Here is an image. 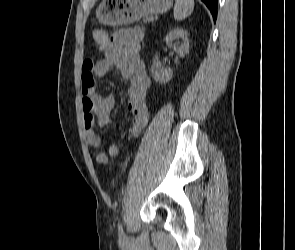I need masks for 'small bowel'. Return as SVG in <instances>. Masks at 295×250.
Returning a JSON list of instances; mask_svg holds the SVG:
<instances>
[{
  "label": "small bowel",
  "mask_w": 295,
  "mask_h": 250,
  "mask_svg": "<svg viewBox=\"0 0 295 250\" xmlns=\"http://www.w3.org/2000/svg\"><path fill=\"white\" fill-rule=\"evenodd\" d=\"M143 31L140 28L116 31L102 47L103 56L97 60L87 59L82 65V107L86 142L89 146L99 148L102 139L97 134L98 128L107 126L110 113L115 106L113 95H100L96 91L97 79L103 77L110 69L117 70L129 81L127 109L132 117L130 136H138L149 119L147 97L151 80L146 73L145 64L140 57V45ZM110 152L117 153V147L110 145ZM98 152L96 156H99Z\"/></svg>",
  "instance_id": "obj_1"
}]
</instances>
